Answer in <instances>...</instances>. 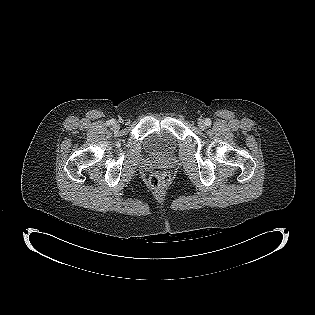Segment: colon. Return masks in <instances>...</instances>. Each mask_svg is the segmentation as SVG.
I'll return each mask as SVG.
<instances>
[{"mask_svg":"<svg viewBox=\"0 0 315 315\" xmlns=\"http://www.w3.org/2000/svg\"><path fill=\"white\" fill-rule=\"evenodd\" d=\"M171 181V174L168 171H155L149 177V184L155 189L166 187Z\"/></svg>","mask_w":315,"mask_h":315,"instance_id":"5ec220e1","label":"colon"}]
</instances>
